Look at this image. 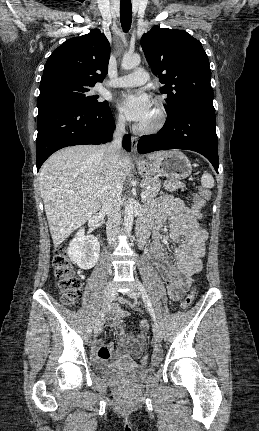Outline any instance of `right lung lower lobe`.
I'll list each match as a JSON object with an SVG mask.
<instances>
[{"label": "right lung lower lobe", "instance_id": "right-lung-lower-lobe-1", "mask_svg": "<svg viewBox=\"0 0 259 431\" xmlns=\"http://www.w3.org/2000/svg\"><path fill=\"white\" fill-rule=\"evenodd\" d=\"M115 128L110 107L89 108L74 103H56L39 109L37 118V170L55 151L73 145L109 142ZM123 147L131 149L125 135Z\"/></svg>", "mask_w": 259, "mask_h": 431}]
</instances>
